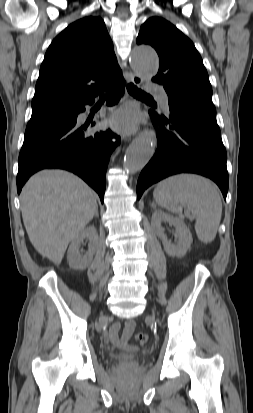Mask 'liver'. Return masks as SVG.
<instances>
[{
  "instance_id": "6515ba94",
  "label": "liver",
  "mask_w": 253,
  "mask_h": 413,
  "mask_svg": "<svg viewBox=\"0 0 253 413\" xmlns=\"http://www.w3.org/2000/svg\"><path fill=\"white\" fill-rule=\"evenodd\" d=\"M21 211L30 242L43 257L60 264L69 243L92 220L95 192L63 170L33 175L21 192Z\"/></svg>"
}]
</instances>
